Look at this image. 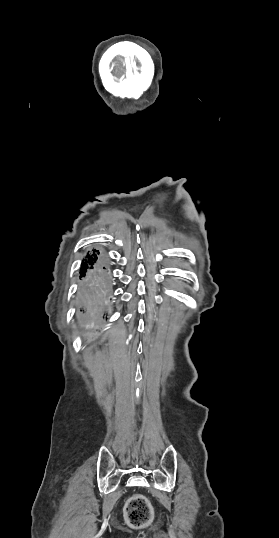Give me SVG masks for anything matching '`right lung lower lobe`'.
Listing matches in <instances>:
<instances>
[{
	"mask_svg": "<svg viewBox=\"0 0 279 538\" xmlns=\"http://www.w3.org/2000/svg\"><path fill=\"white\" fill-rule=\"evenodd\" d=\"M113 291V277L106 251L95 249L88 252L80 268L78 320L91 327L100 325L111 309Z\"/></svg>",
	"mask_w": 279,
	"mask_h": 538,
	"instance_id": "right-lung-lower-lobe-1",
	"label": "right lung lower lobe"
}]
</instances>
